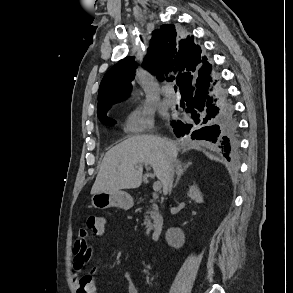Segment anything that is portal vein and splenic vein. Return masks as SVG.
I'll return each mask as SVG.
<instances>
[{"mask_svg": "<svg viewBox=\"0 0 293 293\" xmlns=\"http://www.w3.org/2000/svg\"><path fill=\"white\" fill-rule=\"evenodd\" d=\"M161 189V182L160 181H156L153 184V190L154 191H159Z\"/></svg>", "mask_w": 293, "mask_h": 293, "instance_id": "1", "label": "portal vein and splenic vein"}]
</instances>
